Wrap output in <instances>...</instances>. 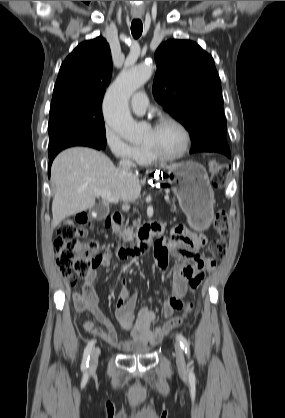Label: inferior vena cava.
<instances>
[{
  "instance_id": "1",
  "label": "inferior vena cava",
  "mask_w": 285,
  "mask_h": 418,
  "mask_svg": "<svg viewBox=\"0 0 285 418\" xmlns=\"http://www.w3.org/2000/svg\"><path fill=\"white\" fill-rule=\"evenodd\" d=\"M120 168L122 169V171L124 173H127L130 176H134V172L133 169L135 167V164L133 162H131L130 160L127 159H123L120 161Z\"/></svg>"
}]
</instances>
